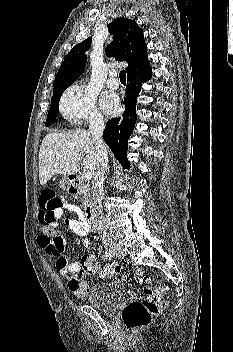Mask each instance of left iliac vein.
Instances as JSON below:
<instances>
[{"instance_id": "left-iliac-vein-1", "label": "left iliac vein", "mask_w": 233, "mask_h": 352, "mask_svg": "<svg viewBox=\"0 0 233 352\" xmlns=\"http://www.w3.org/2000/svg\"><path fill=\"white\" fill-rule=\"evenodd\" d=\"M112 253H113V255H115V256H117L119 258L124 256L123 250L121 248H119V247H114Z\"/></svg>"}]
</instances>
